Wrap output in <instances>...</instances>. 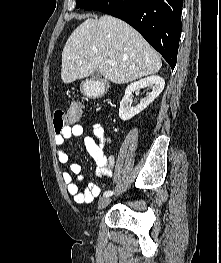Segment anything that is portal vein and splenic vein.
Masks as SVG:
<instances>
[{"mask_svg": "<svg viewBox=\"0 0 221 263\" xmlns=\"http://www.w3.org/2000/svg\"><path fill=\"white\" fill-rule=\"evenodd\" d=\"M108 63H109V65H111V66H114V65H115V61H114V60H109Z\"/></svg>", "mask_w": 221, "mask_h": 263, "instance_id": "1", "label": "portal vein and splenic vein"}]
</instances>
